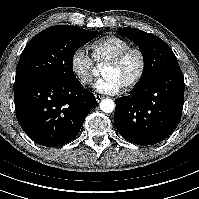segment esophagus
<instances>
[{"mask_svg": "<svg viewBox=\"0 0 199 199\" xmlns=\"http://www.w3.org/2000/svg\"><path fill=\"white\" fill-rule=\"evenodd\" d=\"M95 99L97 102H100L103 99V97L98 94H95Z\"/></svg>", "mask_w": 199, "mask_h": 199, "instance_id": "1", "label": "esophagus"}]
</instances>
